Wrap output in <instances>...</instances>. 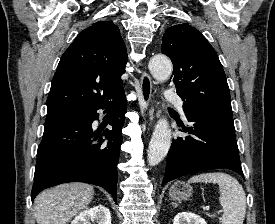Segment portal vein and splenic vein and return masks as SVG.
<instances>
[{"label": "portal vein and splenic vein", "instance_id": "obj_1", "mask_svg": "<svg viewBox=\"0 0 275 224\" xmlns=\"http://www.w3.org/2000/svg\"><path fill=\"white\" fill-rule=\"evenodd\" d=\"M206 211H208L209 210V207L208 206H206L205 208H204ZM221 211H219L218 213H220Z\"/></svg>", "mask_w": 275, "mask_h": 224}]
</instances>
